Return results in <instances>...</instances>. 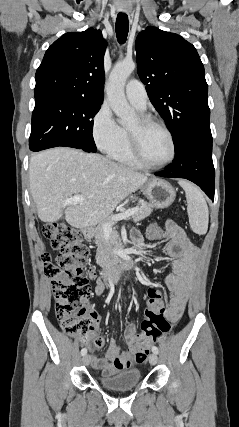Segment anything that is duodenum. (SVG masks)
I'll use <instances>...</instances> for the list:
<instances>
[{
  "instance_id": "410a0bca",
  "label": "duodenum",
  "mask_w": 239,
  "mask_h": 427,
  "mask_svg": "<svg viewBox=\"0 0 239 427\" xmlns=\"http://www.w3.org/2000/svg\"><path fill=\"white\" fill-rule=\"evenodd\" d=\"M84 234L89 236L91 230L89 228L84 229ZM135 265L134 256L130 253L118 259L113 263L103 264L100 270V275L106 281H117L121 274L131 269Z\"/></svg>"
}]
</instances>
